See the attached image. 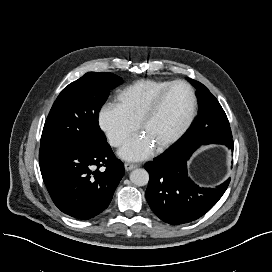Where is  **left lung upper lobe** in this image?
<instances>
[{
  "instance_id": "1",
  "label": "left lung upper lobe",
  "mask_w": 272,
  "mask_h": 272,
  "mask_svg": "<svg viewBox=\"0 0 272 272\" xmlns=\"http://www.w3.org/2000/svg\"><path fill=\"white\" fill-rule=\"evenodd\" d=\"M190 82L197 88L199 113L189 131H197L206 142L219 143L232 138L229 121L217 99L203 84L195 80Z\"/></svg>"
}]
</instances>
